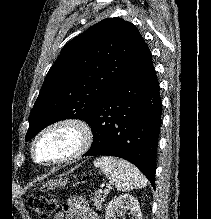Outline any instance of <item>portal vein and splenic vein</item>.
Returning <instances> with one entry per match:
<instances>
[{"instance_id": "1", "label": "portal vein and splenic vein", "mask_w": 211, "mask_h": 219, "mask_svg": "<svg viewBox=\"0 0 211 219\" xmlns=\"http://www.w3.org/2000/svg\"><path fill=\"white\" fill-rule=\"evenodd\" d=\"M100 192H102V191L100 190ZM103 192H104L105 194H108V193L110 192V190H109L108 188H105Z\"/></svg>"}]
</instances>
